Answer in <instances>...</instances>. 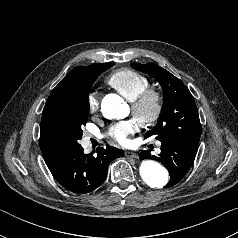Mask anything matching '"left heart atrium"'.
<instances>
[{"label": "left heart atrium", "mask_w": 238, "mask_h": 238, "mask_svg": "<svg viewBox=\"0 0 238 238\" xmlns=\"http://www.w3.org/2000/svg\"><path fill=\"white\" fill-rule=\"evenodd\" d=\"M136 130V121L130 119L112 125L108 131V136L117 143L126 146L130 143V137L136 132Z\"/></svg>", "instance_id": "obj_1"}]
</instances>
